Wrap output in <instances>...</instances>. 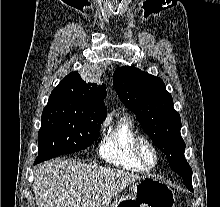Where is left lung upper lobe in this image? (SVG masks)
<instances>
[{
	"label": "left lung upper lobe",
	"instance_id": "obj_1",
	"mask_svg": "<svg viewBox=\"0 0 220 207\" xmlns=\"http://www.w3.org/2000/svg\"><path fill=\"white\" fill-rule=\"evenodd\" d=\"M113 85L124 105L136 115L169 164L187 163L181 138V119L163 81L134 66H123L113 74Z\"/></svg>",
	"mask_w": 220,
	"mask_h": 207
}]
</instances>
